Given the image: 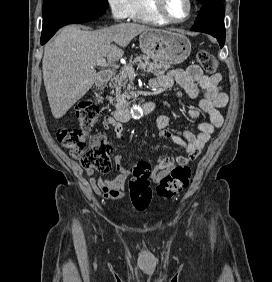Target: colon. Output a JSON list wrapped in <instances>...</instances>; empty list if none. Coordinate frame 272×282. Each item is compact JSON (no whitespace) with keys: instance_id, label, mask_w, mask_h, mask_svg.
<instances>
[{"instance_id":"5ec220e1","label":"colon","mask_w":272,"mask_h":282,"mask_svg":"<svg viewBox=\"0 0 272 282\" xmlns=\"http://www.w3.org/2000/svg\"><path fill=\"white\" fill-rule=\"evenodd\" d=\"M197 61L206 72L210 74L216 72L218 64L210 53L199 51ZM74 112L78 126L58 129L56 133L58 142L85 169H93L100 173L109 172L111 145L105 137H94L90 134L98 121L97 104L90 100L80 101L75 105ZM147 171L148 168L145 165L135 166L131 170L129 194L133 206L139 211L147 209L152 202V190L146 181ZM190 178L189 167H175L159 181L156 196L162 200L175 198L188 187Z\"/></svg>"}]
</instances>
